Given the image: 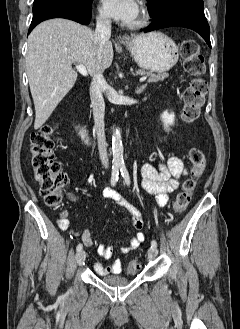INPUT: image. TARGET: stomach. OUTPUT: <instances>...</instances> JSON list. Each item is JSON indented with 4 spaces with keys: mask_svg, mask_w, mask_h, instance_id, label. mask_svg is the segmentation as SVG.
Segmentation results:
<instances>
[{
    "mask_svg": "<svg viewBox=\"0 0 240 329\" xmlns=\"http://www.w3.org/2000/svg\"><path fill=\"white\" fill-rule=\"evenodd\" d=\"M126 46L137 65L151 72H166L179 58L174 41L160 32L138 35L130 39Z\"/></svg>",
    "mask_w": 240,
    "mask_h": 329,
    "instance_id": "obj_1",
    "label": "stomach"
}]
</instances>
